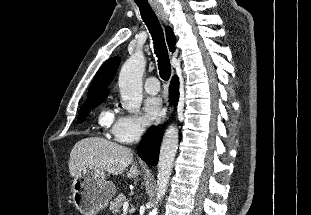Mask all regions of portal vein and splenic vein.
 I'll list each match as a JSON object with an SVG mask.
<instances>
[{"label": "portal vein and splenic vein", "mask_w": 311, "mask_h": 215, "mask_svg": "<svg viewBox=\"0 0 311 215\" xmlns=\"http://www.w3.org/2000/svg\"><path fill=\"white\" fill-rule=\"evenodd\" d=\"M128 208H129V204H128V202H125L123 204V215H125L127 213Z\"/></svg>", "instance_id": "obj_1"}]
</instances>
